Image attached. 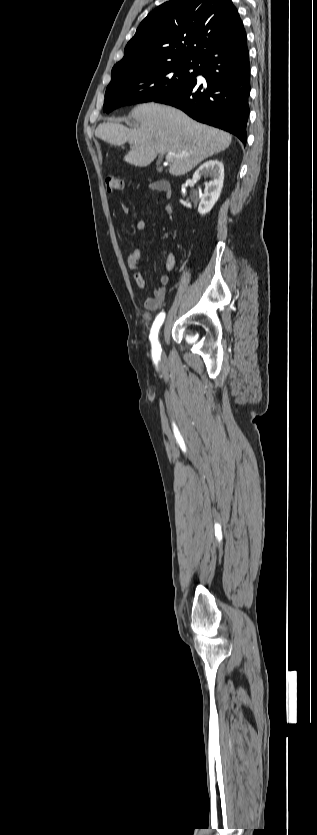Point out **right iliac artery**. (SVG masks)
<instances>
[{"label":"right iliac artery","instance_id":"obj_1","mask_svg":"<svg viewBox=\"0 0 317 835\" xmlns=\"http://www.w3.org/2000/svg\"><path fill=\"white\" fill-rule=\"evenodd\" d=\"M165 318V313L161 312L157 315L150 333V341L152 343V355L154 359H159L161 354V347L158 342V331Z\"/></svg>","mask_w":317,"mask_h":835}]
</instances>
